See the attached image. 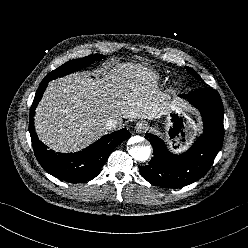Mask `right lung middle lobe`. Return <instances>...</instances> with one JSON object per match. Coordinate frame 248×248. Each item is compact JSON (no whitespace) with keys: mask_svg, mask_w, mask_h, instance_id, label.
I'll use <instances>...</instances> for the list:
<instances>
[{"mask_svg":"<svg viewBox=\"0 0 248 248\" xmlns=\"http://www.w3.org/2000/svg\"><path fill=\"white\" fill-rule=\"evenodd\" d=\"M104 58L101 54H95L91 56H87L81 59L69 61L62 66L58 67L57 69L51 71L45 78H49L53 80L58 77H63L67 74H70L74 71L80 70L89 64L93 63L95 60H101Z\"/></svg>","mask_w":248,"mask_h":248,"instance_id":"dd1d6c3e","label":"right lung middle lobe"}]
</instances>
